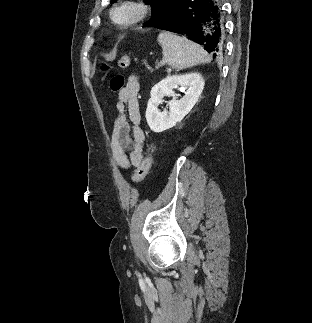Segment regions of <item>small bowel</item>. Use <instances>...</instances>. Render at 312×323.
Returning <instances> with one entry per match:
<instances>
[{
	"label": "small bowel",
	"mask_w": 312,
	"mask_h": 323,
	"mask_svg": "<svg viewBox=\"0 0 312 323\" xmlns=\"http://www.w3.org/2000/svg\"><path fill=\"white\" fill-rule=\"evenodd\" d=\"M139 90L137 76L131 75L116 101L118 112L113 121L111 149L115 164L124 171L138 167L144 160L145 134L140 123Z\"/></svg>",
	"instance_id": "1"
}]
</instances>
